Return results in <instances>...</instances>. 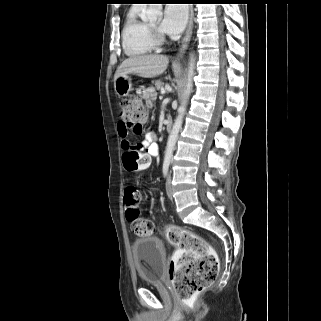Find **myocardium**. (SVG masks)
<instances>
[{
    "mask_svg": "<svg viewBox=\"0 0 321 321\" xmlns=\"http://www.w3.org/2000/svg\"><path fill=\"white\" fill-rule=\"evenodd\" d=\"M148 28L151 39L156 46L162 45L166 42V38L157 28L153 27L150 24H148Z\"/></svg>",
    "mask_w": 321,
    "mask_h": 321,
    "instance_id": "myocardium-1",
    "label": "myocardium"
}]
</instances>
